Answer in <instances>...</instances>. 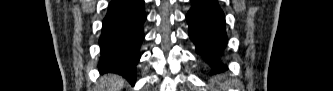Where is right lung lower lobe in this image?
I'll return each instance as SVG.
<instances>
[{
    "mask_svg": "<svg viewBox=\"0 0 333 91\" xmlns=\"http://www.w3.org/2000/svg\"><path fill=\"white\" fill-rule=\"evenodd\" d=\"M146 20L144 0H113L103 20L99 40V71L124 76L135 83V67L140 59L139 47L144 39Z\"/></svg>",
    "mask_w": 333,
    "mask_h": 91,
    "instance_id": "right-lung-lower-lobe-1",
    "label": "right lung lower lobe"
}]
</instances>
